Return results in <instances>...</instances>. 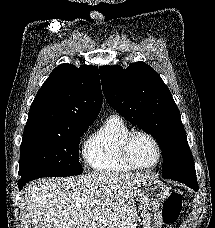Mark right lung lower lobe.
<instances>
[{"label": "right lung lower lobe", "instance_id": "obj_1", "mask_svg": "<svg viewBox=\"0 0 215 228\" xmlns=\"http://www.w3.org/2000/svg\"><path fill=\"white\" fill-rule=\"evenodd\" d=\"M26 183H27V182H24V181L18 182L19 190H22L23 186H25Z\"/></svg>", "mask_w": 215, "mask_h": 228}]
</instances>
